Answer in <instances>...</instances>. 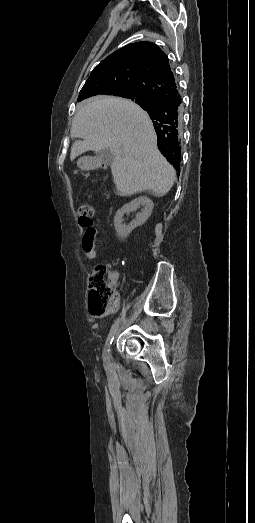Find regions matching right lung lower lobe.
Segmentation results:
<instances>
[{
	"instance_id": "obj_1",
	"label": "right lung lower lobe",
	"mask_w": 255,
	"mask_h": 523,
	"mask_svg": "<svg viewBox=\"0 0 255 523\" xmlns=\"http://www.w3.org/2000/svg\"><path fill=\"white\" fill-rule=\"evenodd\" d=\"M181 104L177 100L165 101L155 106L150 111V116L154 120H159L167 114H174L179 112ZM180 169V167H179Z\"/></svg>"
}]
</instances>
